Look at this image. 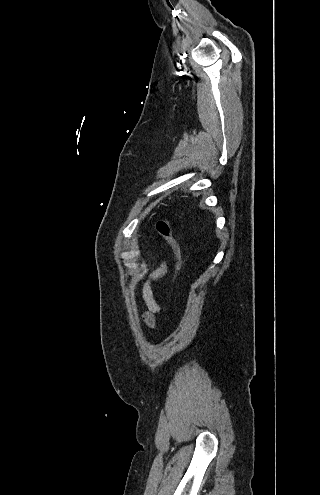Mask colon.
<instances>
[{
    "mask_svg": "<svg viewBox=\"0 0 320 495\" xmlns=\"http://www.w3.org/2000/svg\"><path fill=\"white\" fill-rule=\"evenodd\" d=\"M157 231L169 242L171 245L174 256H175V274L174 279L177 281L181 269H182V260H183V252L181 248V244L177 240V238L173 235L171 226L166 220H160L156 225Z\"/></svg>",
    "mask_w": 320,
    "mask_h": 495,
    "instance_id": "1",
    "label": "colon"
}]
</instances>
